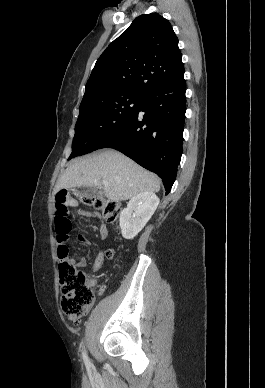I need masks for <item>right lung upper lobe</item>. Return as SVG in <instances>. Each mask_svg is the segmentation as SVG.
<instances>
[{
    "label": "right lung upper lobe",
    "instance_id": "right-lung-upper-lobe-1",
    "mask_svg": "<svg viewBox=\"0 0 265 388\" xmlns=\"http://www.w3.org/2000/svg\"><path fill=\"white\" fill-rule=\"evenodd\" d=\"M184 76L171 24L158 13L138 16L97 60L84 97L102 90L143 95Z\"/></svg>",
    "mask_w": 265,
    "mask_h": 388
}]
</instances>
